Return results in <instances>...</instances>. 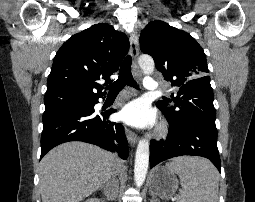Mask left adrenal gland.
<instances>
[{"label":"left adrenal gland","mask_w":255,"mask_h":202,"mask_svg":"<svg viewBox=\"0 0 255 202\" xmlns=\"http://www.w3.org/2000/svg\"><path fill=\"white\" fill-rule=\"evenodd\" d=\"M150 202H158V200L152 195V200Z\"/></svg>","instance_id":"1"}]
</instances>
